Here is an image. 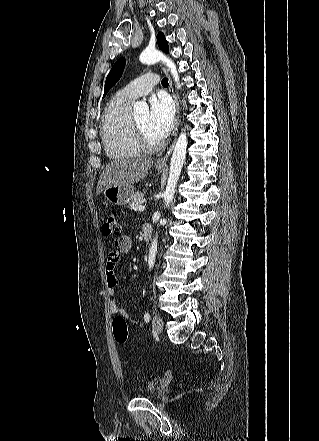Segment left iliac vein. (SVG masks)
Instances as JSON below:
<instances>
[{
	"label": "left iliac vein",
	"mask_w": 319,
	"mask_h": 441,
	"mask_svg": "<svg viewBox=\"0 0 319 441\" xmlns=\"http://www.w3.org/2000/svg\"><path fill=\"white\" fill-rule=\"evenodd\" d=\"M152 326H153L154 331L157 334H160L162 332V330H163V321H162L160 316L155 315L153 317Z\"/></svg>",
	"instance_id": "obj_1"
}]
</instances>
